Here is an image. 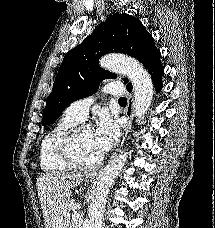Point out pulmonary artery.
<instances>
[{
    "label": "pulmonary artery",
    "instance_id": "1",
    "mask_svg": "<svg viewBox=\"0 0 215 228\" xmlns=\"http://www.w3.org/2000/svg\"><path fill=\"white\" fill-rule=\"evenodd\" d=\"M104 92L114 94V96H127L129 89L125 88V84L119 82H108L104 87ZM95 97H89L74 101L71 103L67 112L79 121H83L88 113L89 107L95 102Z\"/></svg>",
    "mask_w": 215,
    "mask_h": 228
}]
</instances>
